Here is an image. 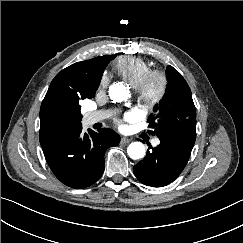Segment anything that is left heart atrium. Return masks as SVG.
I'll use <instances>...</instances> for the list:
<instances>
[{
    "label": "left heart atrium",
    "instance_id": "obj_1",
    "mask_svg": "<svg viewBox=\"0 0 243 243\" xmlns=\"http://www.w3.org/2000/svg\"><path fill=\"white\" fill-rule=\"evenodd\" d=\"M133 117H134V114L133 113H127L126 114V118L127 119H133Z\"/></svg>",
    "mask_w": 243,
    "mask_h": 243
}]
</instances>
